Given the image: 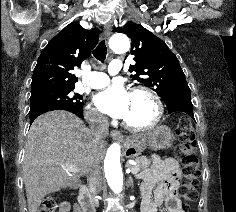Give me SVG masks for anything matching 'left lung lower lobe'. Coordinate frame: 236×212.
<instances>
[{"label":"left lung lower lobe","mask_w":236,"mask_h":212,"mask_svg":"<svg viewBox=\"0 0 236 212\" xmlns=\"http://www.w3.org/2000/svg\"><path fill=\"white\" fill-rule=\"evenodd\" d=\"M165 103L169 113L184 112L194 119L190 89L171 94Z\"/></svg>","instance_id":"obj_1"}]
</instances>
